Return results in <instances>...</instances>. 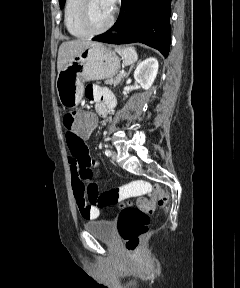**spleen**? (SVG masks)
Segmentation results:
<instances>
[{"mask_svg": "<svg viewBox=\"0 0 240 288\" xmlns=\"http://www.w3.org/2000/svg\"><path fill=\"white\" fill-rule=\"evenodd\" d=\"M119 55L126 64H132L137 61L138 55L134 47H125L123 49H117Z\"/></svg>", "mask_w": 240, "mask_h": 288, "instance_id": "obj_1", "label": "spleen"}]
</instances>
